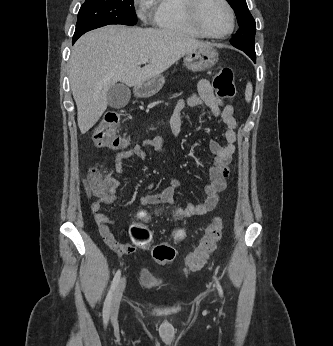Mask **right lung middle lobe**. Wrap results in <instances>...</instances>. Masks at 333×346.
I'll use <instances>...</instances> for the list:
<instances>
[{
  "label": "right lung middle lobe",
  "mask_w": 333,
  "mask_h": 346,
  "mask_svg": "<svg viewBox=\"0 0 333 346\" xmlns=\"http://www.w3.org/2000/svg\"><path fill=\"white\" fill-rule=\"evenodd\" d=\"M136 23L134 0H86L79 10L73 39L105 25Z\"/></svg>",
  "instance_id": "1"
}]
</instances>
